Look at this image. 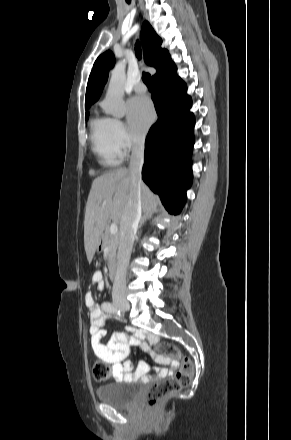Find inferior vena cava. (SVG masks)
I'll use <instances>...</instances> for the list:
<instances>
[{
	"instance_id": "1",
	"label": "inferior vena cava",
	"mask_w": 291,
	"mask_h": 440,
	"mask_svg": "<svg viewBox=\"0 0 291 440\" xmlns=\"http://www.w3.org/2000/svg\"><path fill=\"white\" fill-rule=\"evenodd\" d=\"M144 163V138L134 141L128 171L132 190L125 207L121 223L117 256V271L113 283L112 299L115 304H126V271L130 260L134 238L141 219V171Z\"/></svg>"
}]
</instances>
